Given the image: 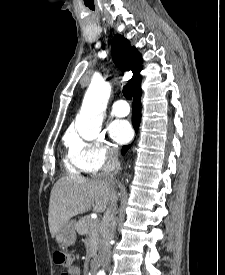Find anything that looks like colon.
Here are the masks:
<instances>
[{
	"mask_svg": "<svg viewBox=\"0 0 225 275\" xmlns=\"http://www.w3.org/2000/svg\"><path fill=\"white\" fill-rule=\"evenodd\" d=\"M54 263L64 268H70L73 265L74 255L64 250L55 251L53 254ZM65 275V273H61Z\"/></svg>",
	"mask_w": 225,
	"mask_h": 275,
	"instance_id": "colon-1",
	"label": "colon"
}]
</instances>
